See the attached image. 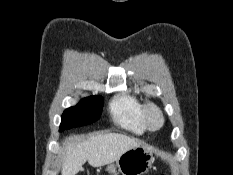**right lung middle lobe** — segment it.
<instances>
[{
    "label": "right lung middle lobe",
    "mask_w": 233,
    "mask_h": 175,
    "mask_svg": "<svg viewBox=\"0 0 233 175\" xmlns=\"http://www.w3.org/2000/svg\"><path fill=\"white\" fill-rule=\"evenodd\" d=\"M102 107L103 98L101 96L82 99L76 106L70 107L63 112L60 131L97 121L101 116Z\"/></svg>",
    "instance_id": "dd1d6c3e"
}]
</instances>
